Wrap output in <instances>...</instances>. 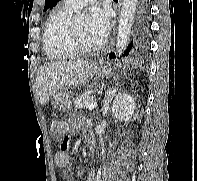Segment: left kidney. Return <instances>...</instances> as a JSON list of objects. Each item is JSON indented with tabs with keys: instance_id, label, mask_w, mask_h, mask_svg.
<instances>
[{
	"instance_id": "obj_1",
	"label": "left kidney",
	"mask_w": 197,
	"mask_h": 181,
	"mask_svg": "<svg viewBox=\"0 0 197 181\" xmlns=\"http://www.w3.org/2000/svg\"><path fill=\"white\" fill-rule=\"evenodd\" d=\"M135 109L136 104L133 96L126 93H118L112 106L114 117L121 121H128L134 115Z\"/></svg>"
}]
</instances>
